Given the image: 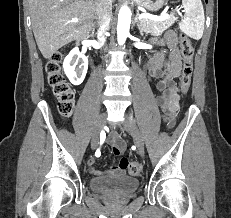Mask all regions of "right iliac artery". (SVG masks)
Wrapping results in <instances>:
<instances>
[{"mask_svg": "<svg viewBox=\"0 0 231 218\" xmlns=\"http://www.w3.org/2000/svg\"><path fill=\"white\" fill-rule=\"evenodd\" d=\"M105 138H106L105 132L101 131V133H100V144H102L104 142ZM100 155H101L100 149H97V151L95 152V156L99 157Z\"/></svg>", "mask_w": 231, "mask_h": 218, "instance_id": "obj_1", "label": "right iliac artery"}]
</instances>
